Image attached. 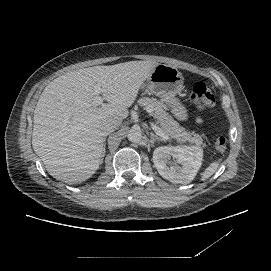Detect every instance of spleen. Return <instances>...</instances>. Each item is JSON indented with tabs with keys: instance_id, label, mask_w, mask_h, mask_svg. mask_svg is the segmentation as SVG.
Here are the masks:
<instances>
[{
	"instance_id": "3e777b00",
	"label": "spleen",
	"mask_w": 271,
	"mask_h": 271,
	"mask_svg": "<svg viewBox=\"0 0 271 271\" xmlns=\"http://www.w3.org/2000/svg\"><path fill=\"white\" fill-rule=\"evenodd\" d=\"M222 161H223V158H218V159L213 160L209 164V166H207L204 169V171L202 172L200 181L204 182L207 179H209L217 171V169L220 167Z\"/></svg>"
}]
</instances>
